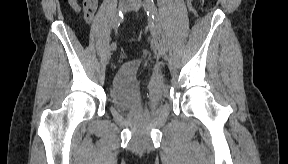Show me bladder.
Returning <instances> with one entry per match:
<instances>
[{
  "mask_svg": "<svg viewBox=\"0 0 288 164\" xmlns=\"http://www.w3.org/2000/svg\"><path fill=\"white\" fill-rule=\"evenodd\" d=\"M138 63L130 61L121 65L114 73L109 88V100L116 108L124 111L144 107L152 108L157 96L143 93L136 78Z\"/></svg>",
  "mask_w": 288,
  "mask_h": 164,
  "instance_id": "31cf9c89",
  "label": "bladder"
}]
</instances>
